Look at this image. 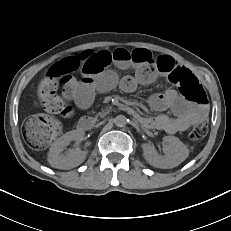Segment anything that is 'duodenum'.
Segmentation results:
<instances>
[{
  "instance_id": "1",
  "label": "duodenum",
  "mask_w": 231,
  "mask_h": 231,
  "mask_svg": "<svg viewBox=\"0 0 231 231\" xmlns=\"http://www.w3.org/2000/svg\"><path fill=\"white\" fill-rule=\"evenodd\" d=\"M127 112H129L133 117H137L138 118V114L132 109V108H128ZM92 119L89 117H83L79 120L78 122V130L85 132L87 130H89L92 127Z\"/></svg>"
}]
</instances>
